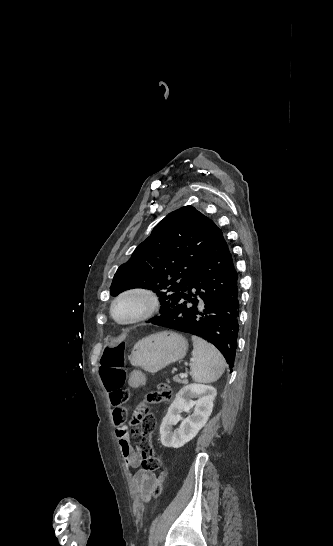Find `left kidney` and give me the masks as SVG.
Here are the masks:
<instances>
[{"label":"left kidney","instance_id":"obj_1","mask_svg":"<svg viewBox=\"0 0 333 546\" xmlns=\"http://www.w3.org/2000/svg\"><path fill=\"white\" fill-rule=\"evenodd\" d=\"M217 395L212 386L188 384L177 394L169 406L160 426L161 443L165 447L180 448L192 440L207 423L212 413L213 401ZM196 400H193V399ZM193 409L192 414L182 420L181 412ZM182 420L179 428L173 425Z\"/></svg>","mask_w":333,"mask_h":546}]
</instances>
